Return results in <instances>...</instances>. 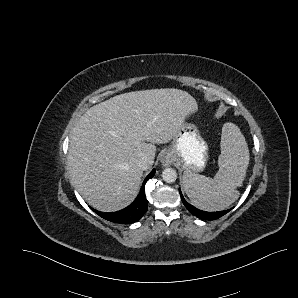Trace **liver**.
I'll return each mask as SVG.
<instances>
[{
  "instance_id": "obj_1",
  "label": "liver",
  "mask_w": 298,
  "mask_h": 298,
  "mask_svg": "<svg viewBox=\"0 0 298 298\" xmlns=\"http://www.w3.org/2000/svg\"><path fill=\"white\" fill-rule=\"evenodd\" d=\"M198 111L187 91L160 88L116 95L89 108L70 137L72 180L89 205L103 212L128 206L138 193L147 157L155 144L169 143L183 122Z\"/></svg>"
}]
</instances>
